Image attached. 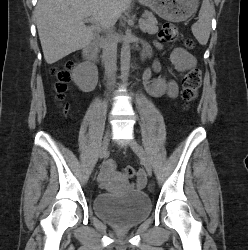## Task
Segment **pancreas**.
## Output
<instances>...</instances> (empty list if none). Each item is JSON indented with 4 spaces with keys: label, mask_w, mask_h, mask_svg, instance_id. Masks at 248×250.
<instances>
[{
    "label": "pancreas",
    "mask_w": 248,
    "mask_h": 250,
    "mask_svg": "<svg viewBox=\"0 0 248 250\" xmlns=\"http://www.w3.org/2000/svg\"><path fill=\"white\" fill-rule=\"evenodd\" d=\"M157 23V19L151 12H145L143 14V23L139 24V26L144 33L152 35L158 31Z\"/></svg>",
    "instance_id": "pancreas-1"
}]
</instances>
